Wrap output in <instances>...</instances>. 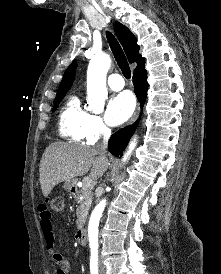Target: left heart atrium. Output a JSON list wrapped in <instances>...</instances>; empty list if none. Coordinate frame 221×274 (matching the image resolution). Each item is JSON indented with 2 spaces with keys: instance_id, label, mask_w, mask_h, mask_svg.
Returning a JSON list of instances; mask_svg holds the SVG:
<instances>
[{
  "instance_id": "39dd6f15",
  "label": "left heart atrium",
  "mask_w": 221,
  "mask_h": 274,
  "mask_svg": "<svg viewBox=\"0 0 221 274\" xmlns=\"http://www.w3.org/2000/svg\"><path fill=\"white\" fill-rule=\"evenodd\" d=\"M135 101L129 92L113 96L107 104L105 117L112 126L124 123L133 113Z\"/></svg>"
}]
</instances>
